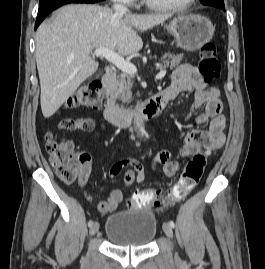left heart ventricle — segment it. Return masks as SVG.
I'll use <instances>...</instances> for the list:
<instances>
[{
	"mask_svg": "<svg viewBox=\"0 0 265 269\" xmlns=\"http://www.w3.org/2000/svg\"><path fill=\"white\" fill-rule=\"evenodd\" d=\"M154 1L162 3V4H179L186 0H154Z\"/></svg>",
	"mask_w": 265,
	"mask_h": 269,
	"instance_id": "b2bd125f",
	"label": "left heart ventricle"
}]
</instances>
